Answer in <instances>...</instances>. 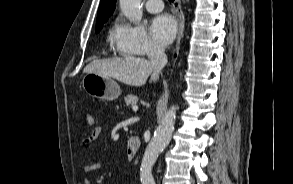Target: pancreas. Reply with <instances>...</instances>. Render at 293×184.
Returning a JSON list of instances; mask_svg holds the SVG:
<instances>
[{
    "mask_svg": "<svg viewBox=\"0 0 293 184\" xmlns=\"http://www.w3.org/2000/svg\"><path fill=\"white\" fill-rule=\"evenodd\" d=\"M139 101V98L135 95L129 94L125 97V103L126 106H135L137 102Z\"/></svg>",
    "mask_w": 293,
    "mask_h": 184,
    "instance_id": "cf45deb5",
    "label": "pancreas"
}]
</instances>
